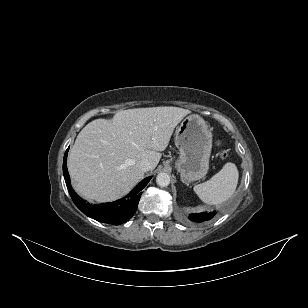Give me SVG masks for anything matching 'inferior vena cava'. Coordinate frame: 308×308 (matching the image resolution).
Instances as JSON below:
<instances>
[{"label":"inferior vena cava","instance_id":"obj_1","mask_svg":"<svg viewBox=\"0 0 308 308\" xmlns=\"http://www.w3.org/2000/svg\"><path fill=\"white\" fill-rule=\"evenodd\" d=\"M136 166L143 172L149 171L151 169V163L147 159H142Z\"/></svg>","mask_w":308,"mask_h":308}]
</instances>
